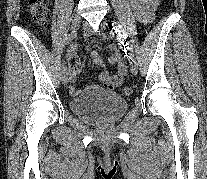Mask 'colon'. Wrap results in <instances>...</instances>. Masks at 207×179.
Instances as JSON below:
<instances>
[{"label": "colon", "instance_id": "1", "mask_svg": "<svg viewBox=\"0 0 207 179\" xmlns=\"http://www.w3.org/2000/svg\"><path fill=\"white\" fill-rule=\"evenodd\" d=\"M32 20L38 25H44L48 15L47 0H29ZM132 92L131 87L124 86L121 88L123 95H130Z\"/></svg>", "mask_w": 207, "mask_h": 179}]
</instances>
